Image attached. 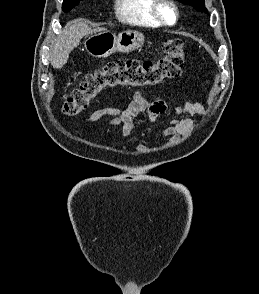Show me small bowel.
Here are the masks:
<instances>
[{
    "label": "small bowel",
    "mask_w": 259,
    "mask_h": 294,
    "mask_svg": "<svg viewBox=\"0 0 259 294\" xmlns=\"http://www.w3.org/2000/svg\"><path fill=\"white\" fill-rule=\"evenodd\" d=\"M171 113L177 116H205L206 110L205 107L198 102H186L183 105L171 108L161 97L155 96L149 101L142 92L137 91L134 93L133 99L126 110H120L114 107L102 108L94 111L82 121L84 123H93L108 116L111 119L107 122V126H119L122 135L127 136L134 131V119L137 116L146 114L150 120L155 121ZM193 129L194 121L190 118L172 119L158 135L160 137L175 138L187 135L192 132ZM136 149L144 150L146 146L138 145Z\"/></svg>",
    "instance_id": "obj_1"
}]
</instances>
